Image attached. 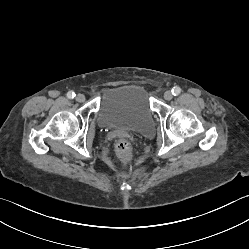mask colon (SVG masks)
I'll use <instances>...</instances> for the list:
<instances>
[{
	"instance_id": "obj_1",
	"label": "colon",
	"mask_w": 249,
	"mask_h": 249,
	"mask_svg": "<svg viewBox=\"0 0 249 249\" xmlns=\"http://www.w3.org/2000/svg\"><path fill=\"white\" fill-rule=\"evenodd\" d=\"M116 153L125 163H129L132 159V147L128 140L120 139L116 143Z\"/></svg>"
}]
</instances>
